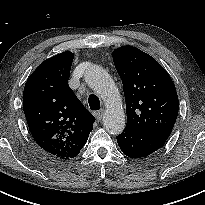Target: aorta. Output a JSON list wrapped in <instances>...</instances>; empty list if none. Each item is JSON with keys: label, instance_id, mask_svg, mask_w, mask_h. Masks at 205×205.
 Returning <instances> with one entry per match:
<instances>
[{"label": "aorta", "instance_id": "1", "mask_svg": "<svg viewBox=\"0 0 205 205\" xmlns=\"http://www.w3.org/2000/svg\"><path fill=\"white\" fill-rule=\"evenodd\" d=\"M85 81L105 103L104 128L111 134H120L125 127V113L113 79L102 67L93 65L87 69Z\"/></svg>", "mask_w": 205, "mask_h": 205}]
</instances>
